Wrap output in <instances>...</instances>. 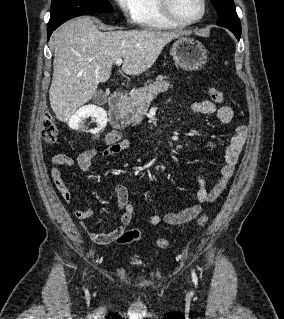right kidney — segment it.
Segmentation results:
<instances>
[{"mask_svg":"<svg viewBox=\"0 0 284 319\" xmlns=\"http://www.w3.org/2000/svg\"><path fill=\"white\" fill-rule=\"evenodd\" d=\"M94 117L98 123V128L97 130H101L107 122V115L106 112L98 108L96 106L92 105H86L81 107L76 114L71 118L70 120V126L72 128H79L82 124L83 121L88 118V117Z\"/></svg>","mask_w":284,"mask_h":319,"instance_id":"ca27d5eb","label":"right kidney"}]
</instances>
